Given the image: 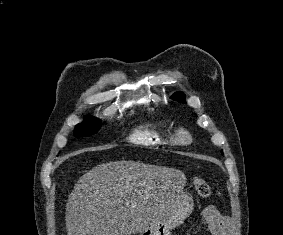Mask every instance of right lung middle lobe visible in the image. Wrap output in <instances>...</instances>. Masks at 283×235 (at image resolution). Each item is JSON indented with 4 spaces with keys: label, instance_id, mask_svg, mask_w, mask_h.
<instances>
[{
    "label": "right lung middle lobe",
    "instance_id": "1",
    "mask_svg": "<svg viewBox=\"0 0 283 235\" xmlns=\"http://www.w3.org/2000/svg\"><path fill=\"white\" fill-rule=\"evenodd\" d=\"M101 125L99 119L93 117H86L83 123L76 125L75 135L76 136H88L96 133Z\"/></svg>",
    "mask_w": 283,
    "mask_h": 235
}]
</instances>
